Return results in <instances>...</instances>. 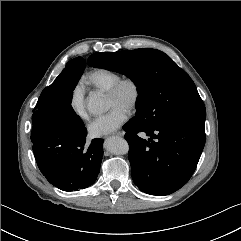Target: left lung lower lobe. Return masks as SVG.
<instances>
[{
	"label": "left lung lower lobe",
	"instance_id": "left-lung-lower-lobe-1",
	"mask_svg": "<svg viewBox=\"0 0 241 241\" xmlns=\"http://www.w3.org/2000/svg\"><path fill=\"white\" fill-rule=\"evenodd\" d=\"M123 129L132 178L141 191L169 195L188 182L205 145V121L172 117L148 127L133 117ZM139 132L150 138H140Z\"/></svg>",
	"mask_w": 241,
	"mask_h": 241
}]
</instances>
